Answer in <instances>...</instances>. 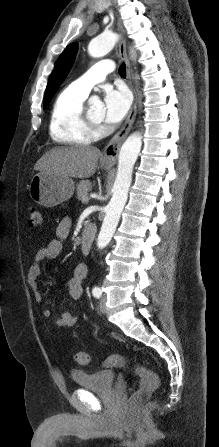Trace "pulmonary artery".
I'll list each match as a JSON object with an SVG mask.
<instances>
[{
  "label": "pulmonary artery",
  "mask_w": 219,
  "mask_h": 447,
  "mask_svg": "<svg viewBox=\"0 0 219 447\" xmlns=\"http://www.w3.org/2000/svg\"><path fill=\"white\" fill-rule=\"evenodd\" d=\"M114 70V65L109 60L101 61L91 67L85 74L70 84V87L78 93L87 96L90 89L105 80L106 76Z\"/></svg>",
  "instance_id": "obj_1"
}]
</instances>
